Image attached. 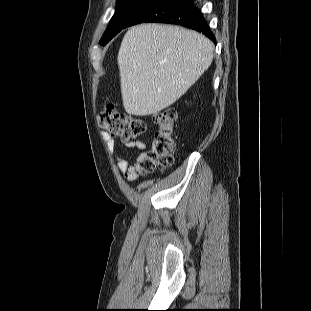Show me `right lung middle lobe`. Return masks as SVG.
Wrapping results in <instances>:
<instances>
[{
  "label": "right lung middle lobe",
  "instance_id": "obj_1",
  "mask_svg": "<svg viewBox=\"0 0 311 311\" xmlns=\"http://www.w3.org/2000/svg\"><path fill=\"white\" fill-rule=\"evenodd\" d=\"M156 0H117V7L100 44L105 45L144 8Z\"/></svg>",
  "mask_w": 311,
  "mask_h": 311
}]
</instances>
